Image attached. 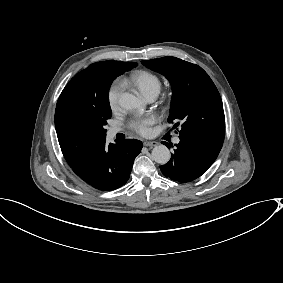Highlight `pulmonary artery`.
<instances>
[{"label":"pulmonary artery","mask_w":283,"mask_h":283,"mask_svg":"<svg viewBox=\"0 0 283 283\" xmlns=\"http://www.w3.org/2000/svg\"><path fill=\"white\" fill-rule=\"evenodd\" d=\"M157 94L155 92H149L147 94L144 95V98L148 101V102H152L155 98H156ZM120 128L116 127V126H112L110 128H108L107 131V141L110 142L113 140V138L115 137V135L120 132Z\"/></svg>","instance_id":"e3ab8cb5"}]
</instances>
